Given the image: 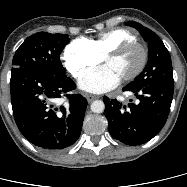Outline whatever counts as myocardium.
Segmentation results:
<instances>
[{
    "label": "myocardium",
    "instance_id": "1",
    "mask_svg": "<svg viewBox=\"0 0 187 187\" xmlns=\"http://www.w3.org/2000/svg\"><path fill=\"white\" fill-rule=\"evenodd\" d=\"M133 48H138L141 51V60L133 72L122 78L123 81H131L142 73L148 60V52L146 47L138 41H128L121 43L120 45L109 50L103 57V60L106 61V59L109 57H118Z\"/></svg>",
    "mask_w": 187,
    "mask_h": 187
}]
</instances>
